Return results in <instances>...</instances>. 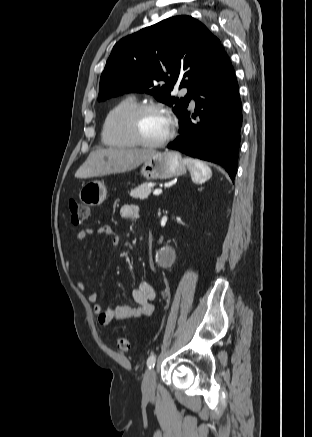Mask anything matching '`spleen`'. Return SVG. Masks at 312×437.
Returning a JSON list of instances; mask_svg holds the SVG:
<instances>
[{"label":"spleen","instance_id":"spleen-1","mask_svg":"<svg viewBox=\"0 0 312 437\" xmlns=\"http://www.w3.org/2000/svg\"><path fill=\"white\" fill-rule=\"evenodd\" d=\"M184 162L188 167L193 182L201 184L212 176L210 167L203 162L191 158H185Z\"/></svg>","mask_w":312,"mask_h":437}]
</instances>
